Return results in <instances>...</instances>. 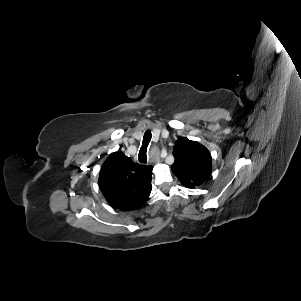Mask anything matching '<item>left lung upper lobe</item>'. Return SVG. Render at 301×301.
Segmentation results:
<instances>
[{"mask_svg":"<svg viewBox=\"0 0 301 301\" xmlns=\"http://www.w3.org/2000/svg\"><path fill=\"white\" fill-rule=\"evenodd\" d=\"M175 162L172 172L180 182L188 187L200 186L212 169L211 154L200 143L187 138H179L173 148Z\"/></svg>","mask_w":301,"mask_h":301,"instance_id":"5c2ea615","label":"left lung upper lobe"}]
</instances>
